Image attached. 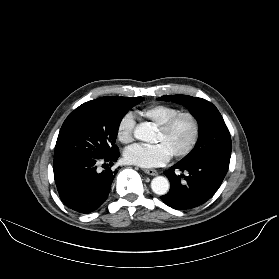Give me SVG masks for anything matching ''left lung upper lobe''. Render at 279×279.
Here are the masks:
<instances>
[{
	"label": "left lung upper lobe",
	"instance_id": "1",
	"mask_svg": "<svg viewBox=\"0 0 279 279\" xmlns=\"http://www.w3.org/2000/svg\"><path fill=\"white\" fill-rule=\"evenodd\" d=\"M158 100L172 101L188 108L199 124V138L193 150L180 162L214 159L229 167L231 137L218 109L209 101L187 95H165Z\"/></svg>",
	"mask_w": 279,
	"mask_h": 279
}]
</instances>
